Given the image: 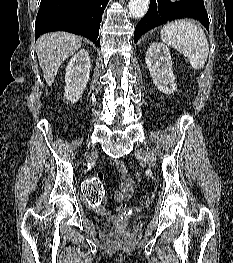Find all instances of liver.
I'll return each mask as SVG.
<instances>
[{
    "label": "liver",
    "instance_id": "1",
    "mask_svg": "<svg viewBox=\"0 0 233 263\" xmlns=\"http://www.w3.org/2000/svg\"><path fill=\"white\" fill-rule=\"evenodd\" d=\"M80 47L81 39L71 33L52 32L39 37L36 43V53L48 86L54 82L62 62Z\"/></svg>",
    "mask_w": 233,
    "mask_h": 263
}]
</instances>
